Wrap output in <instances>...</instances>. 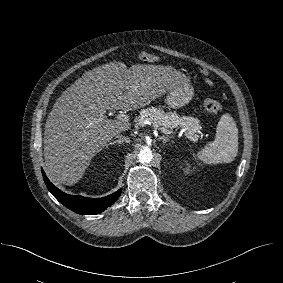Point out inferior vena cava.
<instances>
[{
  "instance_id": "obj_1",
  "label": "inferior vena cava",
  "mask_w": 283,
  "mask_h": 283,
  "mask_svg": "<svg viewBox=\"0 0 283 283\" xmlns=\"http://www.w3.org/2000/svg\"><path fill=\"white\" fill-rule=\"evenodd\" d=\"M116 138H118L121 142H126V143H130V138L120 135V134H116L115 135Z\"/></svg>"
}]
</instances>
